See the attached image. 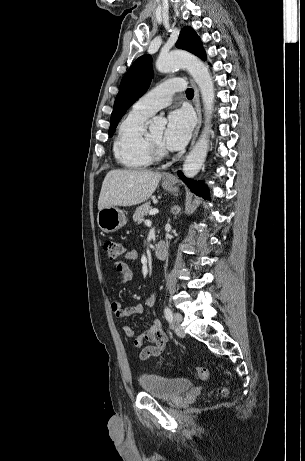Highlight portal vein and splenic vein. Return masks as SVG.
Instances as JSON below:
<instances>
[{
    "label": "portal vein and splenic vein",
    "mask_w": 305,
    "mask_h": 461,
    "mask_svg": "<svg viewBox=\"0 0 305 461\" xmlns=\"http://www.w3.org/2000/svg\"><path fill=\"white\" fill-rule=\"evenodd\" d=\"M158 212H159V211H158L157 209H151V210L149 211V215H156V214H158Z\"/></svg>",
    "instance_id": "1"
}]
</instances>
